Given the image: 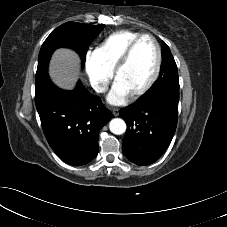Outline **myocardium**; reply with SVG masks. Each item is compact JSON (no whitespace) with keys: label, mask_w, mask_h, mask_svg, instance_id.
<instances>
[{"label":"myocardium","mask_w":227,"mask_h":227,"mask_svg":"<svg viewBox=\"0 0 227 227\" xmlns=\"http://www.w3.org/2000/svg\"><path fill=\"white\" fill-rule=\"evenodd\" d=\"M143 39H150L154 43L156 52H157V63H156L154 73L151 76V78L149 79V81L142 88L131 93L129 95V98H131V99H137V98L141 97L142 95H144L145 93H147L152 88V86L155 84V82L158 80L160 72H161V68H162L163 57H162V50H161V46H160L159 42L152 35L142 34V35L138 36L137 38H135L128 45V47L126 48V50L124 51V53L122 54V56L120 57L118 62L116 63L115 67L113 68L112 75H113L114 81H116L118 74L128 64V62L133 54V51L135 50L136 46Z\"/></svg>","instance_id":"1"}]
</instances>
